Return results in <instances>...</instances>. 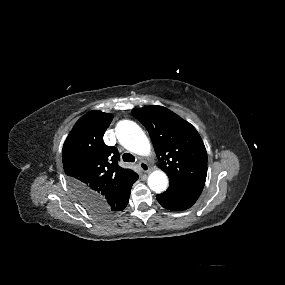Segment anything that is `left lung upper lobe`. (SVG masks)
Segmentation results:
<instances>
[{
    "label": "left lung upper lobe",
    "mask_w": 285,
    "mask_h": 285,
    "mask_svg": "<svg viewBox=\"0 0 285 285\" xmlns=\"http://www.w3.org/2000/svg\"><path fill=\"white\" fill-rule=\"evenodd\" d=\"M147 129L169 181L203 189L207 175V152L196 129L172 111L156 105L132 110Z\"/></svg>",
    "instance_id": "obj_1"
}]
</instances>
